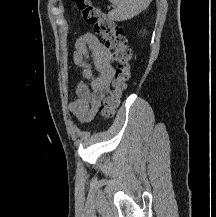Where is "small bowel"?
<instances>
[{
	"label": "small bowel",
	"instance_id": "c3829d8e",
	"mask_svg": "<svg viewBox=\"0 0 216 217\" xmlns=\"http://www.w3.org/2000/svg\"><path fill=\"white\" fill-rule=\"evenodd\" d=\"M73 60L81 69L82 80L75 88L77 98L69 102L68 108L84 124L94 119L110 90L115 74L114 56L97 36L85 33L75 43Z\"/></svg>",
	"mask_w": 216,
	"mask_h": 217
}]
</instances>
